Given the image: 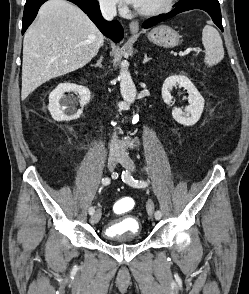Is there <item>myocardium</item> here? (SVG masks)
Masks as SVG:
<instances>
[{
    "instance_id": "1",
    "label": "myocardium",
    "mask_w": 249,
    "mask_h": 294,
    "mask_svg": "<svg viewBox=\"0 0 249 294\" xmlns=\"http://www.w3.org/2000/svg\"><path fill=\"white\" fill-rule=\"evenodd\" d=\"M177 0H168L164 5L154 8L151 10H143L140 9L139 7H136L135 10L137 13L143 16H157L163 13L168 12L176 3Z\"/></svg>"
}]
</instances>
